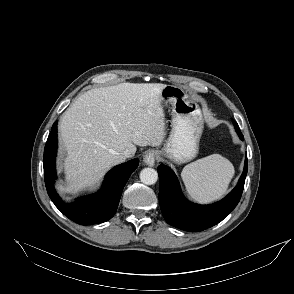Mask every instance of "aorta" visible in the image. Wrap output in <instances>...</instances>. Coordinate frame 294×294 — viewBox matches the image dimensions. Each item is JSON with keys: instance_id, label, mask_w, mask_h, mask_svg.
<instances>
[{"instance_id": "obj_1", "label": "aorta", "mask_w": 294, "mask_h": 294, "mask_svg": "<svg viewBox=\"0 0 294 294\" xmlns=\"http://www.w3.org/2000/svg\"><path fill=\"white\" fill-rule=\"evenodd\" d=\"M158 173L153 168H144L140 172V180L146 185H153L157 182Z\"/></svg>"}]
</instances>
